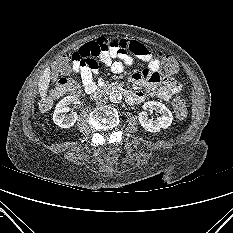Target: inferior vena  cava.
Instances as JSON below:
<instances>
[{
    "label": "inferior vena cava",
    "mask_w": 233,
    "mask_h": 233,
    "mask_svg": "<svg viewBox=\"0 0 233 233\" xmlns=\"http://www.w3.org/2000/svg\"><path fill=\"white\" fill-rule=\"evenodd\" d=\"M95 100L97 105H103L108 102V97L104 94L99 93L95 96Z\"/></svg>",
    "instance_id": "obj_1"
}]
</instances>
